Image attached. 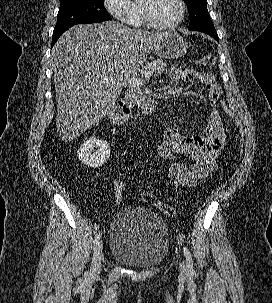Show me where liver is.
<instances>
[{
    "mask_svg": "<svg viewBox=\"0 0 272 303\" xmlns=\"http://www.w3.org/2000/svg\"><path fill=\"white\" fill-rule=\"evenodd\" d=\"M167 33L106 21L78 24L62 34L52 49V66L56 126L63 141L77 138L102 118L126 79L144 65Z\"/></svg>",
    "mask_w": 272,
    "mask_h": 303,
    "instance_id": "liver-1",
    "label": "liver"
}]
</instances>
